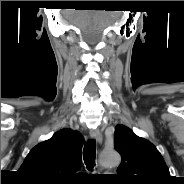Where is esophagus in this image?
I'll return each instance as SVG.
<instances>
[{"instance_id": "esophagus-1", "label": "esophagus", "mask_w": 184, "mask_h": 184, "mask_svg": "<svg viewBox=\"0 0 184 184\" xmlns=\"http://www.w3.org/2000/svg\"><path fill=\"white\" fill-rule=\"evenodd\" d=\"M90 136L92 139L96 140L97 142L101 143L102 142V134L99 131V129H91L90 130Z\"/></svg>"}]
</instances>
